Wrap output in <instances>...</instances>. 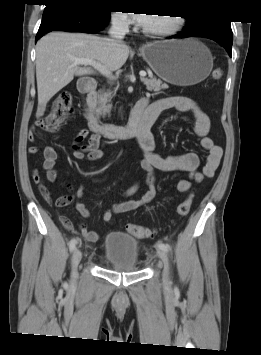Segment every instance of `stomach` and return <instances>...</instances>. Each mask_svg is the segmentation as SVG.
I'll return each mask as SVG.
<instances>
[{
    "label": "stomach",
    "mask_w": 261,
    "mask_h": 355,
    "mask_svg": "<svg viewBox=\"0 0 261 355\" xmlns=\"http://www.w3.org/2000/svg\"><path fill=\"white\" fill-rule=\"evenodd\" d=\"M140 53L158 77L174 85L200 83L213 68L210 50L194 38L148 43Z\"/></svg>",
    "instance_id": "obj_1"
}]
</instances>
